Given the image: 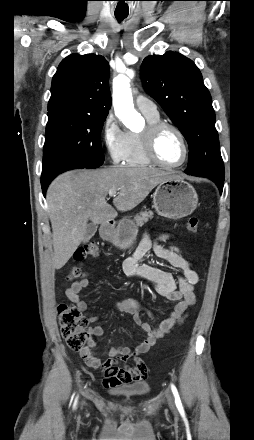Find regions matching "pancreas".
I'll list each match as a JSON object with an SVG mask.
<instances>
[{"label":"pancreas","instance_id":"cf45deb5","mask_svg":"<svg viewBox=\"0 0 254 440\" xmlns=\"http://www.w3.org/2000/svg\"><path fill=\"white\" fill-rule=\"evenodd\" d=\"M153 217L152 211H142L134 217V221L137 226H143Z\"/></svg>","mask_w":254,"mask_h":440}]
</instances>
